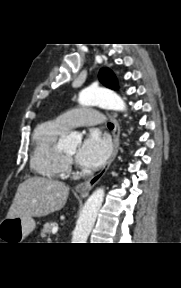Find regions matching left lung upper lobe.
Returning a JSON list of instances; mask_svg holds the SVG:
<instances>
[{"instance_id":"5c2ea615","label":"left lung upper lobe","mask_w":181,"mask_h":288,"mask_svg":"<svg viewBox=\"0 0 181 288\" xmlns=\"http://www.w3.org/2000/svg\"><path fill=\"white\" fill-rule=\"evenodd\" d=\"M100 82L108 88L117 90L118 82L114 73L108 68H102L99 72Z\"/></svg>"}]
</instances>
